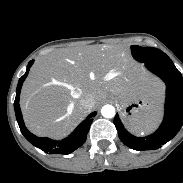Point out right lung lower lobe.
Wrapping results in <instances>:
<instances>
[{"label":"right lung lower lobe","mask_w":183,"mask_h":183,"mask_svg":"<svg viewBox=\"0 0 183 183\" xmlns=\"http://www.w3.org/2000/svg\"><path fill=\"white\" fill-rule=\"evenodd\" d=\"M34 60H31L28 63L26 73L19 79L17 89H16V98L14 101V109L16 114V119L19 125V128L23 136L35 147L41 149L47 154H69L79 148L86 141L87 133L90 129L93 117L96 115V112L91 113L87 119L78 125V127L66 138L62 140H52L50 138H41L37 137L25 127L20 106H19V97L22 84L25 78L28 75L29 69L32 66Z\"/></svg>","instance_id":"obj_1"}]
</instances>
